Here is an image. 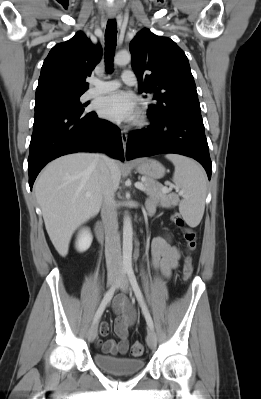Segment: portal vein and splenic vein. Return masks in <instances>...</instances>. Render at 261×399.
Returning <instances> with one entry per match:
<instances>
[{"label":"portal vein and splenic vein","mask_w":261,"mask_h":399,"mask_svg":"<svg viewBox=\"0 0 261 399\" xmlns=\"http://www.w3.org/2000/svg\"><path fill=\"white\" fill-rule=\"evenodd\" d=\"M135 187L138 188V189L141 190V191H145V187H144L143 183H141V182H136V183H135ZM163 191L168 192L169 189H168L167 187H164V188H163ZM179 194L182 195L181 192H180Z\"/></svg>","instance_id":"1"}]
</instances>
